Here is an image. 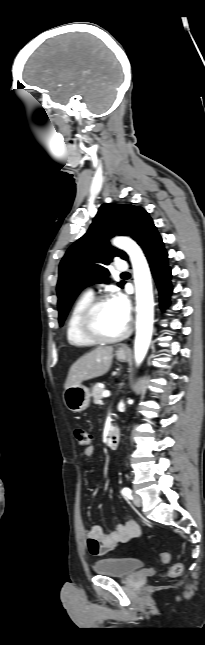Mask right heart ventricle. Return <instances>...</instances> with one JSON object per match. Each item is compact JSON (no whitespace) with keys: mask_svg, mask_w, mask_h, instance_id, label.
<instances>
[{"mask_svg":"<svg viewBox=\"0 0 205 645\" xmlns=\"http://www.w3.org/2000/svg\"><path fill=\"white\" fill-rule=\"evenodd\" d=\"M92 299L91 294L84 293L74 302L70 310L66 323V338L70 345L86 347L96 344L83 333L81 328L82 313Z\"/></svg>","mask_w":205,"mask_h":645,"instance_id":"1","label":"right heart ventricle"}]
</instances>
